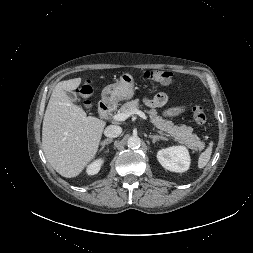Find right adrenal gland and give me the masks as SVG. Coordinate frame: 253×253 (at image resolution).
I'll return each mask as SVG.
<instances>
[{"label": "right adrenal gland", "instance_id": "obj_1", "mask_svg": "<svg viewBox=\"0 0 253 253\" xmlns=\"http://www.w3.org/2000/svg\"><path fill=\"white\" fill-rule=\"evenodd\" d=\"M113 139H105L102 143H101V148H100V152L104 149L105 145H108L110 143H112Z\"/></svg>", "mask_w": 253, "mask_h": 253}]
</instances>
